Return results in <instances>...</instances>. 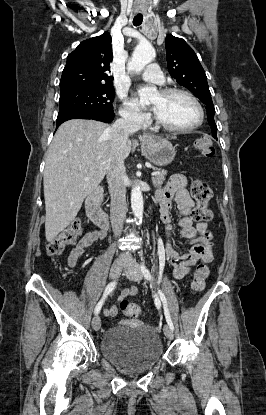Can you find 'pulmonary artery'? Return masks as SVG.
<instances>
[{
    "mask_svg": "<svg viewBox=\"0 0 266 415\" xmlns=\"http://www.w3.org/2000/svg\"><path fill=\"white\" fill-rule=\"evenodd\" d=\"M142 78L148 82L159 85L164 83V76L157 64L148 65L145 71L142 73Z\"/></svg>",
    "mask_w": 266,
    "mask_h": 415,
    "instance_id": "e3ab8cb5",
    "label": "pulmonary artery"
}]
</instances>
